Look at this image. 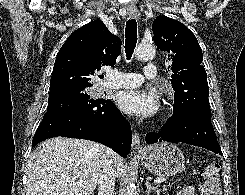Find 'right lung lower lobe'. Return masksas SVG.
<instances>
[{
    "label": "right lung lower lobe",
    "instance_id": "98d812e1",
    "mask_svg": "<svg viewBox=\"0 0 245 195\" xmlns=\"http://www.w3.org/2000/svg\"><path fill=\"white\" fill-rule=\"evenodd\" d=\"M89 139L102 143L122 157L131 148V127L114 103L96 99L91 103L73 104L46 112L32 147L52 137Z\"/></svg>",
    "mask_w": 245,
    "mask_h": 195
}]
</instances>
